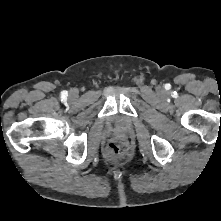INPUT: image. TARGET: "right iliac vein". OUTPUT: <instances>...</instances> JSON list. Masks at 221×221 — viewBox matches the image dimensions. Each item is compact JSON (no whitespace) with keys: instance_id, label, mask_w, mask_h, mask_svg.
Returning <instances> with one entry per match:
<instances>
[{"instance_id":"obj_1","label":"right iliac vein","mask_w":221,"mask_h":221,"mask_svg":"<svg viewBox=\"0 0 221 221\" xmlns=\"http://www.w3.org/2000/svg\"><path fill=\"white\" fill-rule=\"evenodd\" d=\"M71 96H72V97H75V94H74V93H72V94H71Z\"/></svg>"}]
</instances>
